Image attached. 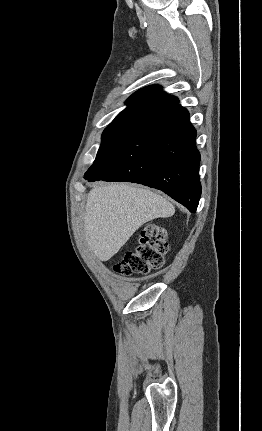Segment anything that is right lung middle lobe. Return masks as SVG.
Wrapping results in <instances>:
<instances>
[{
  "label": "right lung middle lobe",
  "instance_id": "right-lung-middle-lobe-1",
  "mask_svg": "<svg viewBox=\"0 0 262 431\" xmlns=\"http://www.w3.org/2000/svg\"><path fill=\"white\" fill-rule=\"evenodd\" d=\"M126 125H109L102 134V143L94 163L109 149V147L128 129Z\"/></svg>",
  "mask_w": 262,
  "mask_h": 431
}]
</instances>
